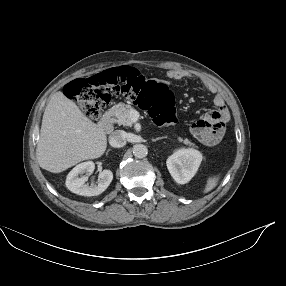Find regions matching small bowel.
I'll list each match as a JSON object with an SVG mask.
<instances>
[{
    "label": "small bowel",
    "instance_id": "c3829d8e",
    "mask_svg": "<svg viewBox=\"0 0 286 286\" xmlns=\"http://www.w3.org/2000/svg\"><path fill=\"white\" fill-rule=\"evenodd\" d=\"M166 76L169 80L177 81V80L192 78L193 74L190 71L183 69H171L167 71ZM204 87L206 91L212 95L213 103L216 106V109L212 110V112L218 113L219 117L223 122L227 121L229 119V112L225 105L222 95L217 91L216 87L211 83H204Z\"/></svg>",
    "mask_w": 286,
    "mask_h": 286
}]
</instances>
